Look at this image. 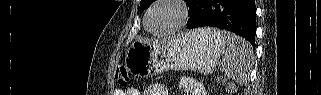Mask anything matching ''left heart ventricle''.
Segmentation results:
<instances>
[{"instance_id": "1", "label": "left heart ventricle", "mask_w": 321, "mask_h": 95, "mask_svg": "<svg viewBox=\"0 0 321 95\" xmlns=\"http://www.w3.org/2000/svg\"><path fill=\"white\" fill-rule=\"evenodd\" d=\"M179 18L178 9L172 4H162L149 17L148 26L153 31H163L173 26Z\"/></svg>"}]
</instances>
